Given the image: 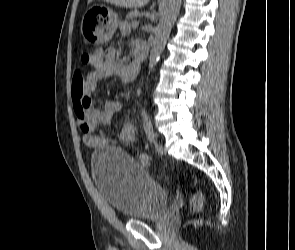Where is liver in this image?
<instances>
[{"mask_svg":"<svg viewBox=\"0 0 295 250\" xmlns=\"http://www.w3.org/2000/svg\"><path fill=\"white\" fill-rule=\"evenodd\" d=\"M104 2L111 3L118 7L131 9L145 6L149 0H104Z\"/></svg>","mask_w":295,"mask_h":250,"instance_id":"1","label":"liver"}]
</instances>
